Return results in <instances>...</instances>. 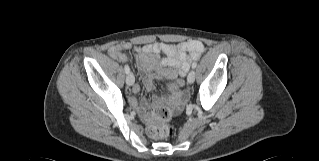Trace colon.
<instances>
[{
  "mask_svg": "<svg viewBox=\"0 0 319 161\" xmlns=\"http://www.w3.org/2000/svg\"><path fill=\"white\" fill-rule=\"evenodd\" d=\"M174 88V87H173ZM171 111L165 107L156 108L149 117L147 134L153 139H164L170 136L172 128L169 124Z\"/></svg>",
  "mask_w": 319,
  "mask_h": 161,
  "instance_id": "colon-1",
  "label": "colon"
}]
</instances>
